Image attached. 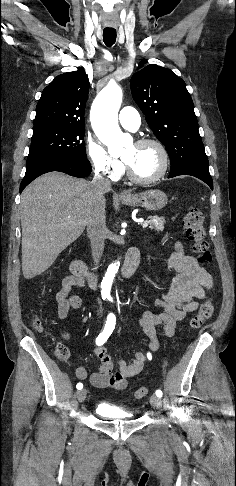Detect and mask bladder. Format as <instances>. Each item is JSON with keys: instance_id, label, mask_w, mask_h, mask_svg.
I'll list each match as a JSON object with an SVG mask.
<instances>
[{"instance_id": "1", "label": "bladder", "mask_w": 236, "mask_h": 486, "mask_svg": "<svg viewBox=\"0 0 236 486\" xmlns=\"http://www.w3.org/2000/svg\"><path fill=\"white\" fill-rule=\"evenodd\" d=\"M96 413L102 417L119 420H130L133 417L131 412L125 411L112 404L101 402L96 406Z\"/></svg>"}]
</instances>
